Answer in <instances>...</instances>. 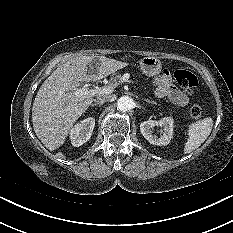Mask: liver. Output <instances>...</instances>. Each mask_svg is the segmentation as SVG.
Segmentation results:
<instances>
[{
	"label": "liver",
	"mask_w": 233,
	"mask_h": 233,
	"mask_svg": "<svg viewBox=\"0 0 233 233\" xmlns=\"http://www.w3.org/2000/svg\"><path fill=\"white\" fill-rule=\"evenodd\" d=\"M95 58L98 62L92 66ZM127 65L105 56H77L59 66L43 82L33 102L32 123L47 149L53 151L64 143L74 123L93 102L92 97L74 94L80 83L100 80Z\"/></svg>",
	"instance_id": "6515ba94"
}]
</instances>
